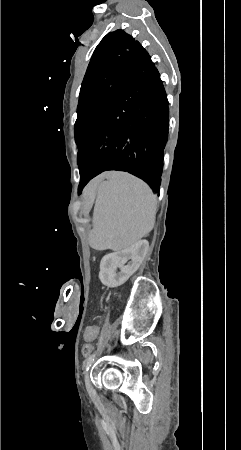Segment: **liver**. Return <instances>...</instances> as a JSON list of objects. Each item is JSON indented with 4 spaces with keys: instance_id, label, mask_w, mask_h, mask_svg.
Returning <instances> with one entry per match:
<instances>
[{
    "instance_id": "obj_1",
    "label": "liver",
    "mask_w": 241,
    "mask_h": 450,
    "mask_svg": "<svg viewBox=\"0 0 241 450\" xmlns=\"http://www.w3.org/2000/svg\"><path fill=\"white\" fill-rule=\"evenodd\" d=\"M111 176V172H105V174H101V176H97L95 180H93L94 184H99V182H102L104 178H109Z\"/></svg>"
}]
</instances>
